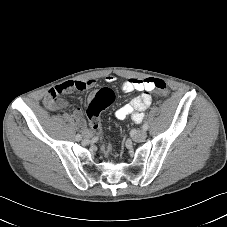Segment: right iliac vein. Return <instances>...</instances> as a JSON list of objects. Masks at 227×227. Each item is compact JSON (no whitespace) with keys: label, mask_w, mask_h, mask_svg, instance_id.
I'll return each mask as SVG.
<instances>
[{"label":"right iliac vein","mask_w":227,"mask_h":227,"mask_svg":"<svg viewBox=\"0 0 227 227\" xmlns=\"http://www.w3.org/2000/svg\"><path fill=\"white\" fill-rule=\"evenodd\" d=\"M91 136H92V134L90 131L85 132V138L89 139V138H91Z\"/></svg>","instance_id":"63e3f726"}]
</instances>
